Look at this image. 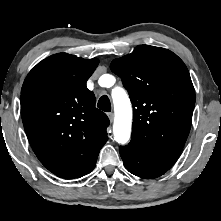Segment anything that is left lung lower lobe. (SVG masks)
Listing matches in <instances>:
<instances>
[{
  "label": "left lung lower lobe",
  "mask_w": 221,
  "mask_h": 221,
  "mask_svg": "<svg viewBox=\"0 0 221 221\" xmlns=\"http://www.w3.org/2000/svg\"><path fill=\"white\" fill-rule=\"evenodd\" d=\"M125 168L132 174L145 178H156L167 172L177 158L151 154L133 143L120 147Z\"/></svg>",
  "instance_id": "obj_1"
}]
</instances>
